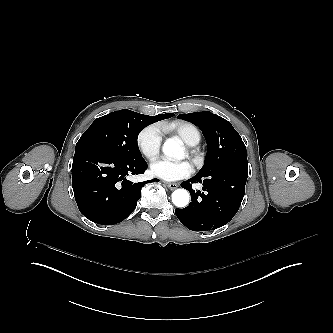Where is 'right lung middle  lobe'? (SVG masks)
I'll return each mask as SVG.
<instances>
[{"instance_id": "right-lung-middle-lobe-1", "label": "right lung middle lobe", "mask_w": 333, "mask_h": 333, "mask_svg": "<svg viewBox=\"0 0 333 333\" xmlns=\"http://www.w3.org/2000/svg\"><path fill=\"white\" fill-rule=\"evenodd\" d=\"M153 123L149 116L127 109L97 118L83 133L76 146L94 145L129 161L142 160L137 145L141 130Z\"/></svg>"}]
</instances>
